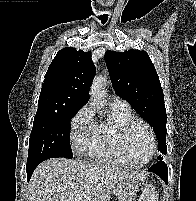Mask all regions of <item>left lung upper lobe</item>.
<instances>
[{"label": "left lung upper lobe", "instance_id": "obj_1", "mask_svg": "<svg viewBox=\"0 0 196 201\" xmlns=\"http://www.w3.org/2000/svg\"><path fill=\"white\" fill-rule=\"evenodd\" d=\"M105 60L116 94L154 129L158 139L159 159L167 153V115L163 90L156 69L145 51H106Z\"/></svg>", "mask_w": 196, "mask_h": 201}]
</instances>
